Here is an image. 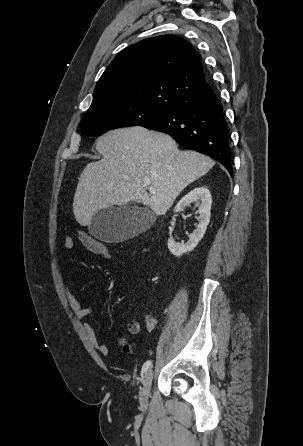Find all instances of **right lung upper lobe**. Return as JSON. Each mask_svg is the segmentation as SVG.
Instances as JSON below:
<instances>
[{"mask_svg": "<svg viewBox=\"0 0 303 446\" xmlns=\"http://www.w3.org/2000/svg\"><path fill=\"white\" fill-rule=\"evenodd\" d=\"M191 43L162 35L122 50L106 68L89 109L113 103L173 108L211 91Z\"/></svg>", "mask_w": 303, "mask_h": 446, "instance_id": "1", "label": "right lung upper lobe"}]
</instances>
